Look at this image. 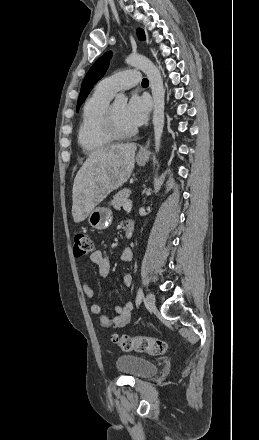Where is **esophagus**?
I'll use <instances>...</instances> for the list:
<instances>
[{"label": "esophagus", "instance_id": "esophagus-1", "mask_svg": "<svg viewBox=\"0 0 259 440\" xmlns=\"http://www.w3.org/2000/svg\"><path fill=\"white\" fill-rule=\"evenodd\" d=\"M149 145H150V140H148L146 142V144L140 149L139 153L142 154V155L147 154L148 153Z\"/></svg>", "mask_w": 259, "mask_h": 440}]
</instances>
